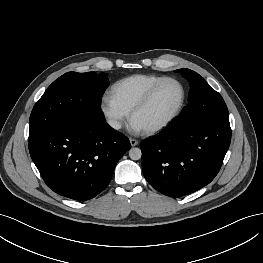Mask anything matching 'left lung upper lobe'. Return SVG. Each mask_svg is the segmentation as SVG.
<instances>
[{
  "mask_svg": "<svg viewBox=\"0 0 263 263\" xmlns=\"http://www.w3.org/2000/svg\"><path fill=\"white\" fill-rule=\"evenodd\" d=\"M190 82L189 103L172 123L181 131L194 129L200 124L220 118H229L227 106L221 97L198 73L180 69Z\"/></svg>",
  "mask_w": 263,
  "mask_h": 263,
  "instance_id": "obj_1",
  "label": "left lung upper lobe"
}]
</instances>
